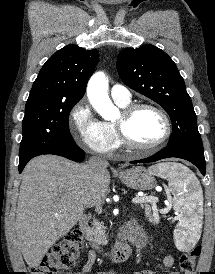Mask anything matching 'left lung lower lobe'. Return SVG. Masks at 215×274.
Listing matches in <instances>:
<instances>
[{
  "instance_id": "obj_1",
  "label": "left lung lower lobe",
  "mask_w": 215,
  "mask_h": 274,
  "mask_svg": "<svg viewBox=\"0 0 215 274\" xmlns=\"http://www.w3.org/2000/svg\"><path fill=\"white\" fill-rule=\"evenodd\" d=\"M170 157H177L190 161L199 168L203 175H205L204 150L187 147L167 146L148 158L131 161L130 163L155 162Z\"/></svg>"
}]
</instances>
